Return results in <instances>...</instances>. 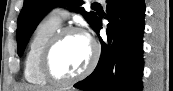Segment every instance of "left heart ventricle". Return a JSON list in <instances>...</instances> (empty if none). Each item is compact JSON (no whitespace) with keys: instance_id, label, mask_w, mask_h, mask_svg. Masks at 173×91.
<instances>
[{"instance_id":"obj_1","label":"left heart ventricle","mask_w":173,"mask_h":91,"mask_svg":"<svg viewBox=\"0 0 173 91\" xmlns=\"http://www.w3.org/2000/svg\"><path fill=\"white\" fill-rule=\"evenodd\" d=\"M90 43L81 34H69L55 47L50 58L51 72L60 78L80 73L89 63Z\"/></svg>"}]
</instances>
